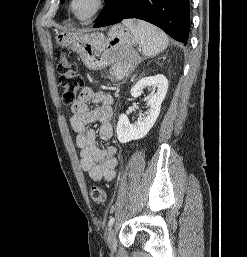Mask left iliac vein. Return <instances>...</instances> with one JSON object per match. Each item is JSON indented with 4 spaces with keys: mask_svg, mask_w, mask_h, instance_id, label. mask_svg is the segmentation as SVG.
Segmentation results:
<instances>
[{
    "mask_svg": "<svg viewBox=\"0 0 247 257\" xmlns=\"http://www.w3.org/2000/svg\"><path fill=\"white\" fill-rule=\"evenodd\" d=\"M107 243L112 252L116 251L117 242H116L115 230L113 228H111L108 232Z\"/></svg>",
    "mask_w": 247,
    "mask_h": 257,
    "instance_id": "left-iliac-vein-1",
    "label": "left iliac vein"
}]
</instances>
